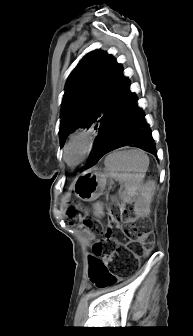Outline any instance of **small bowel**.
<instances>
[{
	"mask_svg": "<svg viewBox=\"0 0 193 336\" xmlns=\"http://www.w3.org/2000/svg\"><path fill=\"white\" fill-rule=\"evenodd\" d=\"M92 266H93V259L90 260V263H89V274L91 273L92 271Z\"/></svg>",
	"mask_w": 193,
	"mask_h": 336,
	"instance_id": "1",
	"label": "small bowel"
}]
</instances>
